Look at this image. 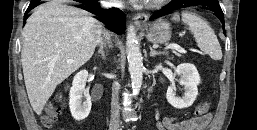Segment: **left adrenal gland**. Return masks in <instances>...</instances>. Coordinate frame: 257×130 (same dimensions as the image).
<instances>
[{
	"mask_svg": "<svg viewBox=\"0 0 257 130\" xmlns=\"http://www.w3.org/2000/svg\"><path fill=\"white\" fill-rule=\"evenodd\" d=\"M166 54L165 52H158L156 50H154L151 46H150V56L151 57H154V56H157V55H164Z\"/></svg>",
	"mask_w": 257,
	"mask_h": 130,
	"instance_id": "left-adrenal-gland-1",
	"label": "left adrenal gland"
}]
</instances>
